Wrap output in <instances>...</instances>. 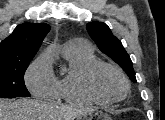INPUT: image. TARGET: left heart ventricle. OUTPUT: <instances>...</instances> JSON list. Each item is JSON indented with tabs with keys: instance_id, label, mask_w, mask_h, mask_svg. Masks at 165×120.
Masks as SVG:
<instances>
[{
	"instance_id": "b2bd125f",
	"label": "left heart ventricle",
	"mask_w": 165,
	"mask_h": 120,
	"mask_svg": "<svg viewBox=\"0 0 165 120\" xmlns=\"http://www.w3.org/2000/svg\"><path fill=\"white\" fill-rule=\"evenodd\" d=\"M97 91L105 97H120L124 93V83L113 70L104 68L95 77Z\"/></svg>"
}]
</instances>
